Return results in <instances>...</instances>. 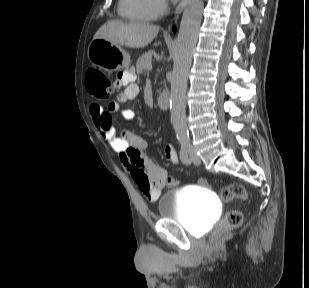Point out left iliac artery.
<instances>
[{
  "mask_svg": "<svg viewBox=\"0 0 309 288\" xmlns=\"http://www.w3.org/2000/svg\"><path fill=\"white\" fill-rule=\"evenodd\" d=\"M181 150H180V159L183 163L189 164L190 160L188 158V152L190 150V140L189 138H181Z\"/></svg>",
  "mask_w": 309,
  "mask_h": 288,
  "instance_id": "44dca946",
  "label": "left iliac artery"
}]
</instances>
